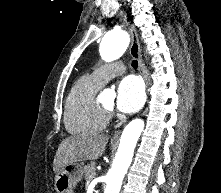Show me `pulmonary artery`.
Wrapping results in <instances>:
<instances>
[{
	"label": "pulmonary artery",
	"mask_w": 221,
	"mask_h": 193,
	"mask_svg": "<svg viewBox=\"0 0 221 193\" xmlns=\"http://www.w3.org/2000/svg\"><path fill=\"white\" fill-rule=\"evenodd\" d=\"M124 71L125 65L118 62L96 68L90 76L102 86L106 81L116 75L122 74Z\"/></svg>",
	"instance_id": "e3ab8cb5"
}]
</instances>
